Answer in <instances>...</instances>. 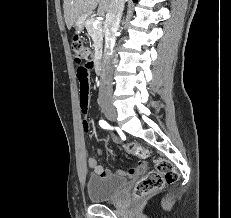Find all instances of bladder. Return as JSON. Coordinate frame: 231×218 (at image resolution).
Segmentation results:
<instances>
[{
	"label": "bladder",
	"mask_w": 231,
	"mask_h": 218,
	"mask_svg": "<svg viewBox=\"0 0 231 218\" xmlns=\"http://www.w3.org/2000/svg\"><path fill=\"white\" fill-rule=\"evenodd\" d=\"M126 185V180L119 176L90 175L87 180V194L94 203H101L116 198Z\"/></svg>",
	"instance_id": "bladder-1"
}]
</instances>
